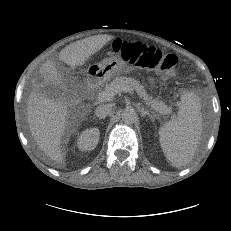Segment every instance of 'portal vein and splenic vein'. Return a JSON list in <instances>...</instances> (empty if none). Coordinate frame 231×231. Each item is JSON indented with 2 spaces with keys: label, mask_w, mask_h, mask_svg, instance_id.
I'll use <instances>...</instances> for the list:
<instances>
[{
  "label": "portal vein and splenic vein",
  "mask_w": 231,
  "mask_h": 231,
  "mask_svg": "<svg viewBox=\"0 0 231 231\" xmlns=\"http://www.w3.org/2000/svg\"><path fill=\"white\" fill-rule=\"evenodd\" d=\"M119 92H128L130 94H134V91L131 87H129L128 85L122 84V85H117L105 91L100 92L97 95V100L100 102L110 101L115 96V94Z\"/></svg>",
  "instance_id": "obj_1"
}]
</instances>
